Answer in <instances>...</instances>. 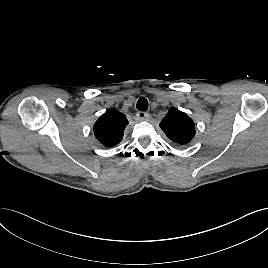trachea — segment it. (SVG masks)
I'll list each match as a JSON object with an SVG mask.
<instances>
[{
    "mask_svg": "<svg viewBox=\"0 0 268 268\" xmlns=\"http://www.w3.org/2000/svg\"><path fill=\"white\" fill-rule=\"evenodd\" d=\"M137 109L140 111H146L148 109V101L145 97L139 98L137 102Z\"/></svg>",
    "mask_w": 268,
    "mask_h": 268,
    "instance_id": "3493384b",
    "label": "trachea"
}]
</instances>
